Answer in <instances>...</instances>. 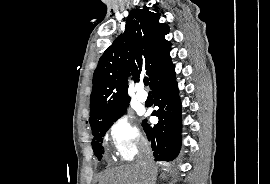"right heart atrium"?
<instances>
[{"label": "right heart atrium", "mask_w": 270, "mask_h": 184, "mask_svg": "<svg viewBox=\"0 0 270 184\" xmlns=\"http://www.w3.org/2000/svg\"><path fill=\"white\" fill-rule=\"evenodd\" d=\"M108 135L116 155L131 161L145 143V138L135 122L127 115L117 116L109 125Z\"/></svg>", "instance_id": "obj_1"}]
</instances>
